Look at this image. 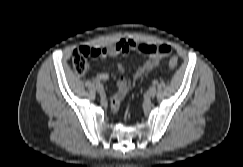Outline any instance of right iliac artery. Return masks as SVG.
<instances>
[{"label":"right iliac artery","mask_w":243,"mask_h":167,"mask_svg":"<svg viewBox=\"0 0 243 167\" xmlns=\"http://www.w3.org/2000/svg\"><path fill=\"white\" fill-rule=\"evenodd\" d=\"M94 83H95L96 85H101V84H100V81H99V80H96V79H95Z\"/></svg>","instance_id":"right-iliac-artery-1"}]
</instances>
